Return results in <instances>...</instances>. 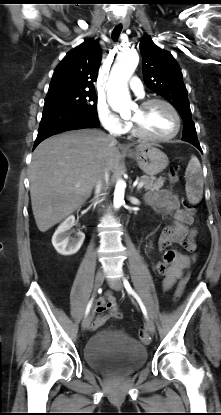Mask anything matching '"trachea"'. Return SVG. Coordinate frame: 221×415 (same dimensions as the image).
Masks as SVG:
<instances>
[{
	"mask_svg": "<svg viewBox=\"0 0 221 415\" xmlns=\"http://www.w3.org/2000/svg\"><path fill=\"white\" fill-rule=\"evenodd\" d=\"M121 31H122V24L117 25L113 29V31H112V39L114 41H117V39L119 38V35H120Z\"/></svg>",
	"mask_w": 221,
	"mask_h": 415,
	"instance_id": "1",
	"label": "trachea"
}]
</instances>
